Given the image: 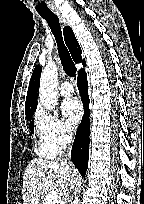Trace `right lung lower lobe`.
Wrapping results in <instances>:
<instances>
[{
	"instance_id": "right-lung-lower-lobe-1",
	"label": "right lung lower lobe",
	"mask_w": 144,
	"mask_h": 204,
	"mask_svg": "<svg viewBox=\"0 0 144 204\" xmlns=\"http://www.w3.org/2000/svg\"><path fill=\"white\" fill-rule=\"evenodd\" d=\"M84 69L78 73L77 85L84 105V116L76 132L75 140L71 151V160L78 169L82 177L85 176L88 167L89 154V97L88 83Z\"/></svg>"
}]
</instances>
